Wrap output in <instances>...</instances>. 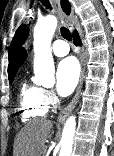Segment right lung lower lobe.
<instances>
[{"label": "right lung lower lobe", "mask_w": 114, "mask_h": 156, "mask_svg": "<svg viewBox=\"0 0 114 156\" xmlns=\"http://www.w3.org/2000/svg\"><path fill=\"white\" fill-rule=\"evenodd\" d=\"M74 43L76 45H80L79 35L77 32H75V34H74Z\"/></svg>", "instance_id": "98d812e1"}]
</instances>
